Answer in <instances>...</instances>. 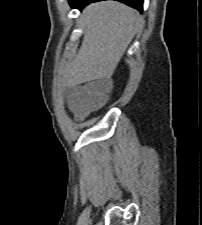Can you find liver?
Instances as JSON below:
<instances>
[{
    "instance_id": "liver-1",
    "label": "liver",
    "mask_w": 202,
    "mask_h": 225,
    "mask_svg": "<svg viewBox=\"0 0 202 225\" xmlns=\"http://www.w3.org/2000/svg\"><path fill=\"white\" fill-rule=\"evenodd\" d=\"M81 19L84 37L64 70L67 85L109 79L143 21L135 9L117 1L90 4Z\"/></svg>"
}]
</instances>
